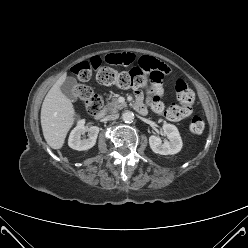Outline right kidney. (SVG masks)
Instances as JSON below:
<instances>
[{
	"instance_id": "1",
	"label": "right kidney",
	"mask_w": 248,
	"mask_h": 248,
	"mask_svg": "<svg viewBox=\"0 0 248 248\" xmlns=\"http://www.w3.org/2000/svg\"><path fill=\"white\" fill-rule=\"evenodd\" d=\"M84 120H79L77 126L71 131L68 145L70 148L83 151L92 148L97 140L99 128L97 126H85ZM88 132V138L81 140V134Z\"/></svg>"
}]
</instances>
